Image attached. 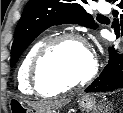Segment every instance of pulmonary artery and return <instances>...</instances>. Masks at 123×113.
Segmentation results:
<instances>
[{"mask_svg":"<svg viewBox=\"0 0 123 113\" xmlns=\"http://www.w3.org/2000/svg\"><path fill=\"white\" fill-rule=\"evenodd\" d=\"M110 10V7L107 3L105 2H100L98 3V11L101 13H108Z\"/></svg>","mask_w":123,"mask_h":113,"instance_id":"1","label":"pulmonary artery"}]
</instances>
